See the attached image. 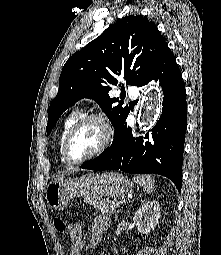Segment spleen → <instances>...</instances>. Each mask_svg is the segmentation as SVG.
Here are the masks:
<instances>
[{"instance_id": "spleen-1", "label": "spleen", "mask_w": 221, "mask_h": 255, "mask_svg": "<svg viewBox=\"0 0 221 255\" xmlns=\"http://www.w3.org/2000/svg\"><path fill=\"white\" fill-rule=\"evenodd\" d=\"M133 181L138 183L146 193H150L154 188V179L150 175H140L133 178Z\"/></svg>"}]
</instances>
